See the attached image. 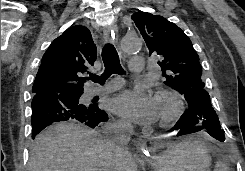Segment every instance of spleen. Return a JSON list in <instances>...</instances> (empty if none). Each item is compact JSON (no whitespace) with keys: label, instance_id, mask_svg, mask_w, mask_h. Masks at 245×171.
Masks as SVG:
<instances>
[{"label":"spleen","instance_id":"1","mask_svg":"<svg viewBox=\"0 0 245 171\" xmlns=\"http://www.w3.org/2000/svg\"><path fill=\"white\" fill-rule=\"evenodd\" d=\"M214 171H230V170L225 163L221 161H217L215 164Z\"/></svg>","mask_w":245,"mask_h":171}]
</instances>
